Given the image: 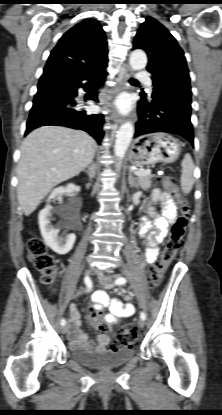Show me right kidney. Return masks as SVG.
Here are the masks:
<instances>
[{
    "label": "right kidney",
    "mask_w": 222,
    "mask_h": 415,
    "mask_svg": "<svg viewBox=\"0 0 222 415\" xmlns=\"http://www.w3.org/2000/svg\"><path fill=\"white\" fill-rule=\"evenodd\" d=\"M77 190L74 184H68L65 187H58L52 191L49 200L54 201L62 199L64 195H72ZM64 209L62 207L54 209L47 204L39 213V227L45 244L59 255L67 254L72 248L76 240L75 234L59 236V229L51 224L53 212L63 216Z\"/></svg>",
    "instance_id": "ca27d5eb"
}]
</instances>
